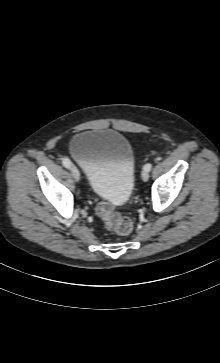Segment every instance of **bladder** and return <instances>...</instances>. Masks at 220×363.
I'll use <instances>...</instances> for the list:
<instances>
[{
	"label": "bladder",
	"instance_id": "bladder-1",
	"mask_svg": "<svg viewBox=\"0 0 220 363\" xmlns=\"http://www.w3.org/2000/svg\"><path fill=\"white\" fill-rule=\"evenodd\" d=\"M69 152L84 169L96 196L113 206L128 201L135 181V155L124 135L110 130H84L72 137Z\"/></svg>",
	"mask_w": 220,
	"mask_h": 363
}]
</instances>
